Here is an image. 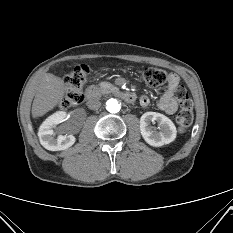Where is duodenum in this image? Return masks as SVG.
<instances>
[{"mask_svg": "<svg viewBox=\"0 0 233 233\" xmlns=\"http://www.w3.org/2000/svg\"><path fill=\"white\" fill-rule=\"evenodd\" d=\"M98 95V91L96 89L93 88H88L85 91V99L86 100H93L94 98H96ZM116 95H118L119 97H121L124 101L128 102V103H132L135 101L136 96L134 93L132 92H127V91H117Z\"/></svg>", "mask_w": 233, "mask_h": 233, "instance_id": "obj_1", "label": "duodenum"}]
</instances>
